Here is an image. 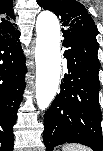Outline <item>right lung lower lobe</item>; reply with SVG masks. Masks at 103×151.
<instances>
[{
  "mask_svg": "<svg viewBox=\"0 0 103 151\" xmlns=\"http://www.w3.org/2000/svg\"><path fill=\"white\" fill-rule=\"evenodd\" d=\"M20 32L0 36V150L13 151V126L25 88Z\"/></svg>",
  "mask_w": 103,
  "mask_h": 151,
  "instance_id": "right-lung-lower-lobe-1",
  "label": "right lung lower lobe"
}]
</instances>
